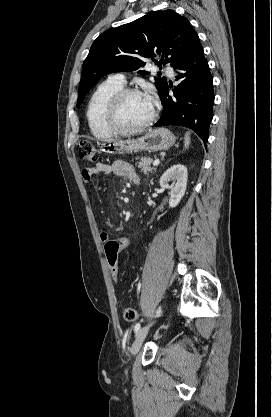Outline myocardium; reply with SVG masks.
I'll list each match as a JSON object with an SVG mask.
<instances>
[{
	"label": "myocardium",
	"mask_w": 272,
	"mask_h": 417,
	"mask_svg": "<svg viewBox=\"0 0 272 417\" xmlns=\"http://www.w3.org/2000/svg\"><path fill=\"white\" fill-rule=\"evenodd\" d=\"M133 95L146 96L144 92L137 88H123L118 91L109 101L105 112V123L107 127L114 133L119 135H132L147 129L153 124L157 117V112L153 108L150 118L143 124L133 127H122L118 122V114L124 100Z\"/></svg>",
	"instance_id": "obj_1"
}]
</instances>
